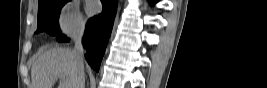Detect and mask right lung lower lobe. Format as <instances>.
Instances as JSON below:
<instances>
[{"label": "right lung lower lobe", "instance_id": "obj_1", "mask_svg": "<svg viewBox=\"0 0 267 88\" xmlns=\"http://www.w3.org/2000/svg\"><path fill=\"white\" fill-rule=\"evenodd\" d=\"M101 1L103 4V11L101 14L88 21L83 38V44L84 47H86L85 58L96 72L99 71L117 10V0ZM57 40L69 41L65 36H59Z\"/></svg>", "mask_w": 267, "mask_h": 88}]
</instances>
